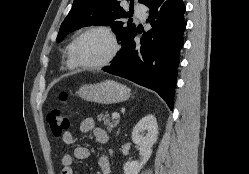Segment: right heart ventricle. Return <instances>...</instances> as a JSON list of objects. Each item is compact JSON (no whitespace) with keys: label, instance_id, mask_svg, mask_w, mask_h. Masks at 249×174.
I'll return each instance as SVG.
<instances>
[{"label":"right heart ventricle","instance_id":"obj_1","mask_svg":"<svg viewBox=\"0 0 249 174\" xmlns=\"http://www.w3.org/2000/svg\"><path fill=\"white\" fill-rule=\"evenodd\" d=\"M73 42L72 41L69 45H68V48H67V66L70 68V69H76L78 66L76 65L73 57H72V45H73Z\"/></svg>","mask_w":249,"mask_h":174}]
</instances>
